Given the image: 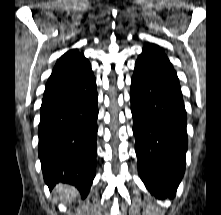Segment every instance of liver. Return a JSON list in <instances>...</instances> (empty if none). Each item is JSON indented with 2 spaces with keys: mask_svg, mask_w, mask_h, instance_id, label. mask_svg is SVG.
<instances>
[{
  "mask_svg": "<svg viewBox=\"0 0 221 215\" xmlns=\"http://www.w3.org/2000/svg\"><path fill=\"white\" fill-rule=\"evenodd\" d=\"M55 194H58L59 200L67 202H72L77 196V190L67 184H58L53 191Z\"/></svg>",
  "mask_w": 221,
  "mask_h": 215,
  "instance_id": "obj_1",
  "label": "liver"
}]
</instances>
